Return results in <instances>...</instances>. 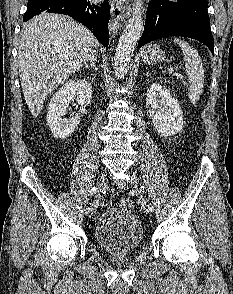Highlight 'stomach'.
I'll return each instance as SVG.
<instances>
[{
	"mask_svg": "<svg viewBox=\"0 0 233 294\" xmlns=\"http://www.w3.org/2000/svg\"><path fill=\"white\" fill-rule=\"evenodd\" d=\"M142 59L145 63H157L165 59V52L156 44H148L143 48Z\"/></svg>",
	"mask_w": 233,
	"mask_h": 294,
	"instance_id": "stomach-1",
	"label": "stomach"
}]
</instances>
